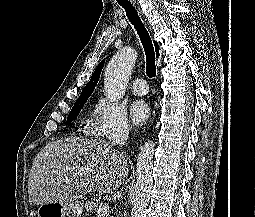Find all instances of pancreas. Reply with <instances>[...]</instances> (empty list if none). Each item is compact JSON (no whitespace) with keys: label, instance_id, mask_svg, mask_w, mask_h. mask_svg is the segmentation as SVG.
Returning <instances> with one entry per match:
<instances>
[{"label":"pancreas","instance_id":"pancreas-1","mask_svg":"<svg viewBox=\"0 0 255 217\" xmlns=\"http://www.w3.org/2000/svg\"><path fill=\"white\" fill-rule=\"evenodd\" d=\"M101 205V200L96 198H91L90 201L85 203L86 211L90 214H95Z\"/></svg>","mask_w":255,"mask_h":217}]
</instances>
